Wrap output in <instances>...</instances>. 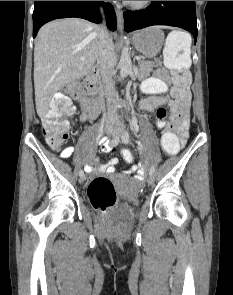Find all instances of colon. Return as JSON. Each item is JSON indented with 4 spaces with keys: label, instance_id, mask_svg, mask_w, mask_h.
Segmentation results:
<instances>
[{
    "label": "colon",
    "instance_id": "colon-1",
    "mask_svg": "<svg viewBox=\"0 0 233 295\" xmlns=\"http://www.w3.org/2000/svg\"><path fill=\"white\" fill-rule=\"evenodd\" d=\"M164 62L172 74L174 94L181 95L189 91L191 78L187 69L191 63V39L187 34L182 32L169 34L165 45ZM86 84L85 82V87ZM83 85L80 80L74 81L63 92L53 97L50 108L43 119V133L51 147H59L67 139L68 122L63 119V116L72 113L70 96L80 94ZM161 145L164 152L172 156L179 151L181 143L178 135L171 128H165L161 135ZM121 155L127 164L134 162L131 151L124 149ZM87 192L92 205L100 210L110 209L117 199L114 185L106 177L94 178L90 182Z\"/></svg>",
    "mask_w": 233,
    "mask_h": 295
}]
</instances>
